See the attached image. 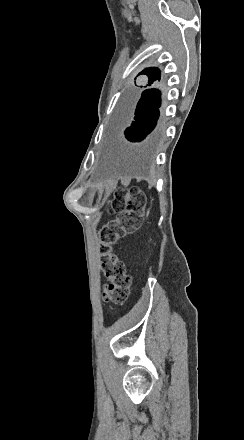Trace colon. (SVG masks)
<instances>
[{"instance_id": "5ec220e1", "label": "colon", "mask_w": 244, "mask_h": 440, "mask_svg": "<svg viewBox=\"0 0 244 440\" xmlns=\"http://www.w3.org/2000/svg\"><path fill=\"white\" fill-rule=\"evenodd\" d=\"M113 214L99 234V254L103 276L108 284L102 289L105 302L122 306L129 298L132 277L126 272L121 259L113 253L112 247L118 238L137 231L143 222L144 198L138 187H132L127 193L114 198L108 208Z\"/></svg>"}]
</instances>
